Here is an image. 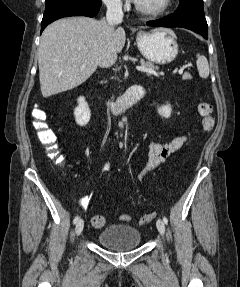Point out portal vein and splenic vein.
Instances as JSON below:
<instances>
[{
	"label": "portal vein and splenic vein",
	"instance_id": "1",
	"mask_svg": "<svg viewBox=\"0 0 240 287\" xmlns=\"http://www.w3.org/2000/svg\"><path fill=\"white\" fill-rule=\"evenodd\" d=\"M136 69H137L138 71H141V72H146V73H149V74L158 75L157 72H155L154 70L149 69V68H146L145 66H142V65H141V66H136ZM183 71H184V68H183V67L180 68V69H179V74H182Z\"/></svg>",
	"mask_w": 240,
	"mask_h": 287
}]
</instances>
